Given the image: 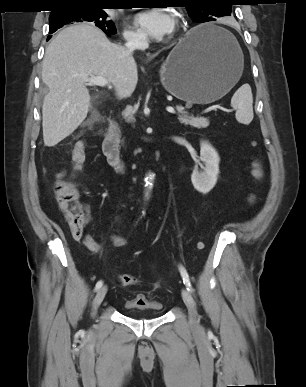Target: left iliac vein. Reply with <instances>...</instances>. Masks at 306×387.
Returning a JSON list of instances; mask_svg holds the SVG:
<instances>
[{
    "label": "left iliac vein",
    "instance_id": "obj_1",
    "mask_svg": "<svg viewBox=\"0 0 306 387\" xmlns=\"http://www.w3.org/2000/svg\"><path fill=\"white\" fill-rule=\"evenodd\" d=\"M181 295H182L183 301L188 309L190 323L194 327L200 328L198 316H197V310H196V306H195V302L193 300V297L191 296L190 292L186 288L182 289Z\"/></svg>",
    "mask_w": 306,
    "mask_h": 387
}]
</instances>
